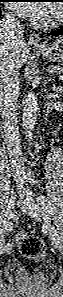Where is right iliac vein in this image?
Listing matches in <instances>:
<instances>
[{
  "mask_svg": "<svg viewBox=\"0 0 63 297\" xmlns=\"http://www.w3.org/2000/svg\"><path fill=\"white\" fill-rule=\"evenodd\" d=\"M15 203H16V197L12 195L9 199L7 209H6V214H5L6 221H8L12 217ZM11 249H12V245L8 243L5 247H1L0 251L1 253H4L5 251L10 252Z\"/></svg>",
  "mask_w": 63,
  "mask_h": 297,
  "instance_id": "obj_1",
  "label": "right iliac vein"
}]
</instances>
